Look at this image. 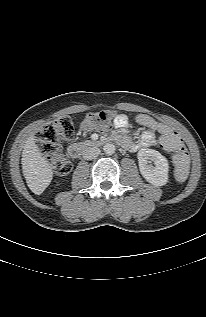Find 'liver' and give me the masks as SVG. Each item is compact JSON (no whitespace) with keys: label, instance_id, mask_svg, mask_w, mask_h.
Segmentation results:
<instances>
[{"label":"liver","instance_id":"6515ba94","mask_svg":"<svg viewBox=\"0 0 206 317\" xmlns=\"http://www.w3.org/2000/svg\"><path fill=\"white\" fill-rule=\"evenodd\" d=\"M34 140V136H30L26 141L21 164L28 187L34 194L40 195L51 183L53 170Z\"/></svg>","mask_w":206,"mask_h":317}]
</instances>
